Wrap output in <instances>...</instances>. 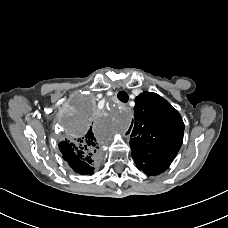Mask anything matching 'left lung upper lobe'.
Instances as JSON below:
<instances>
[{"instance_id": "5c2ea615", "label": "left lung upper lobe", "mask_w": 228, "mask_h": 228, "mask_svg": "<svg viewBox=\"0 0 228 228\" xmlns=\"http://www.w3.org/2000/svg\"><path fill=\"white\" fill-rule=\"evenodd\" d=\"M130 147L134 161L156 157L172 160L183 141L184 123L168 101L152 92L135 99Z\"/></svg>"}]
</instances>
